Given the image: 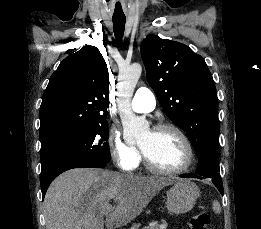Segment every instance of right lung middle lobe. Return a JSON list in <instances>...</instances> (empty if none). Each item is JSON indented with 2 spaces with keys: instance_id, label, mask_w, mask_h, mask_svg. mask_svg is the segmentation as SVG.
<instances>
[{
  "instance_id": "obj_1",
  "label": "right lung middle lobe",
  "mask_w": 261,
  "mask_h": 229,
  "mask_svg": "<svg viewBox=\"0 0 261 229\" xmlns=\"http://www.w3.org/2000/svg\"><path fill=\"white\" fill-rule=\"evenodd\" d=\"M107 122L93 125L78 137L41 149V171L48 168L83 162L110 161Z\"/></svg>"
}]
</instances>
